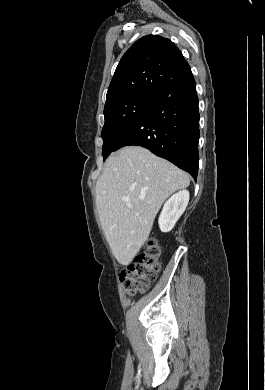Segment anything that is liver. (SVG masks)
Here are the masks:
<instances>
[{
	"instance_id": "6515ba94",
	"label": "liver",
	"mask_w": 265,
	"mask_h": 390,
	"mask_svg": "<svg viewBox=\"0 0 265 390\" xmlns=\"http://www.w3.org/2000/svg\"><path fill=\"white\" fill-rule=\"evenodd\" d=\"M189 184L187 173L140 146H126L107 159L96 182V205L120 264H130L148 240L163 202Z\"/></svg>"
}]
</instances>
